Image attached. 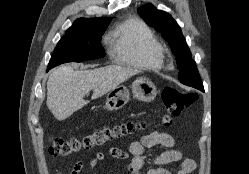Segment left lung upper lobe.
Listing matches in <instances>:
<instances>
[{
	"label": "left lung upper lobe",
	"mask_w": 249,
	"mask_h": 174,
	"mask_svg": "<svg viewBox=\"0 0 249 174\" xmlns=\"http://www.w3.org/2000/svg\"><path fill=\"white\" fill-rule=\"evenodd\" d=\"M138 13L145 22L161 33L162 37L168 41L173 54L176 57L179 69L178 79L181 83L197 88L203 83L192 54L182 35L181 28L168 13L157 10L153 5L146 4L138 8Z\"/></svg>",
	"instance_id": "left-lung-upper-lobe-1"
}]
</instances>
